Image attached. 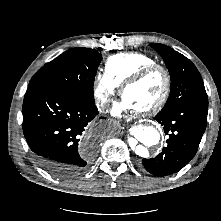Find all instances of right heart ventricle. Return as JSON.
Wrapping results in <instances>:
<instances>
[{"label":"right heart ventricle","instance_id":"1","mask_svg":"<svg viewBox=\"0 0 221 221\" xmlns=\"http://www.w3.org/2000/svg\"><path fill=\"white\" fill-rule=\"evenodd\" d=\"M156 64V60L142 52L119 53L110 56L105 64L106 73L119 85L141 68Z\"/></svg>","mask_w":221,"mask_h":221}]
</instances>
